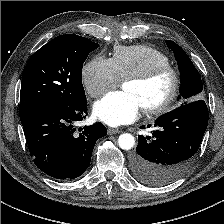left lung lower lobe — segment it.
<instances>
[{"instance_id": "0a47b994", "label": "left lung lower lobe", "mask_w": 224, "mask_h": 224, "mask_svg": "<svg viewBox=\"0 0 224 224\" xmlns=\"http://www.w3.org/2000/svg\"><path fill=\"white\" fill-rule=\"evenodd\" d=\"M207 124L208 109L201 99L160 116L154 124L157 130L153 132V138L138 137L137 154L132 157L134 176L153 186L178 179L189 168Z\"/></svg>"}]
</instances>
